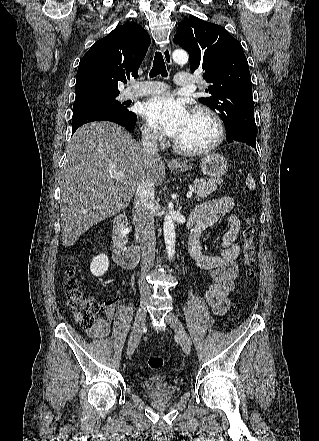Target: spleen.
I'll return each mask as SVG.
<instances>
[{"mask_svg":"<svg viewBox=\"0 0 319 441\" xmlns=\"http://www.w3.org/2000/svg\"><path fill=\"white\" fill-rule=\"evenodd\" d=\"M246 184L250 190H255L256 184H255V181H254L251 174H248L247 179H246Z\"/></svg>","mask_w":319,"mask_h":441,"instance_id":"3e777b00","label":"spleen"}]
</instances>
